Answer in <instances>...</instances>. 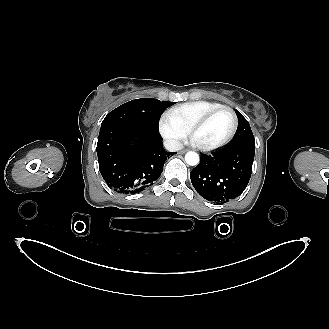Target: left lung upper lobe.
Instances as JSON below:
<instances>
[{
  "label": "left lung upper lobe",
  "instance_id": "5c2ea615",
  "mask_svg": "<svg viewBox=\"0 0 329 329\" xmlns=\"http://www.w3.org/2000/svg\"><path fill=\"white\" fill-rule=\"evenodd\" d=\"M235 111L239 119V123L235 136L230 144H236L241 142L255 143L249 122L243 117V115L239 111Z\"/></svg>",
  "mask_w": 329,
  "mask_h": 329
}]
</instances>
